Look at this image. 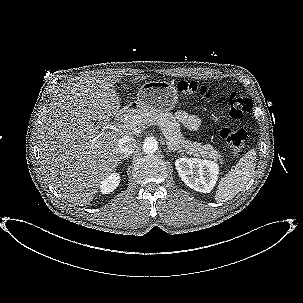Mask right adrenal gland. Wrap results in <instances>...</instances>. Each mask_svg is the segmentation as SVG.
<instances>
[{
  "label": "right adrenal gland",
  "mask_w": 303,
  "mask_h": 303,
  "mask_svg": "<svg viewBox=\"0 0 303 303\" xmlns=\"http://www.w3.org/2000/svg\"><path fill=\"white\" fill-rule=\"evenodd\" d=\"M129 156H130L129 154H126V155L120 156L118 163L120 164L122 160L128 159V158H129Z\"/></svg>",
  "instance_id": "right-adrenal-gland-1"
}]
</instances>
